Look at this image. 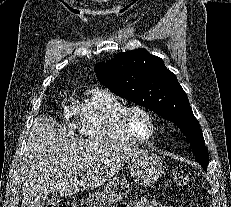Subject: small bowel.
<instances>
[{
    "label": "small bowel",
    "instance_id": "obj_1",
    "mask_svg": "<svg viewBox=\"0 0 231 207\" xmlns=\"http://www.w3.org/2000/svg\"><path fill=\"white\" fill-rule=\"evenodd\" d=\"M128 207H171L165 206L158 200L151 197H143L141 199L131 202Z\"/></svg>",
    "mask_w": 231,
    "mask_h": 207
}]
</instances>
